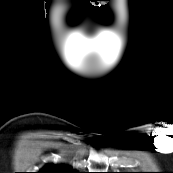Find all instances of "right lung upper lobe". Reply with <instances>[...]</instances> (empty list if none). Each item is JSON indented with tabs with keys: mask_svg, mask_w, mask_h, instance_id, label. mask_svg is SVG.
Masks as SVG:
<instances>
[{
	"mask_svg": "<svg viewBox=\"0 0 173 173\" xmlns=\"http://www.w3.org/2000/svg\"><path fill=\"white\" fill-rule=\"evenodd\" d=\"M38 173H78V172H75L66 166L50 164V165H47L46 167H44Z\"/></svg>",
	"mask_w": 173,
	"mask_h": 173,
	"instance_id": "right-lung-upper-lobe-1",
	"label": "right lung upper lobe"
}]
</instances>
